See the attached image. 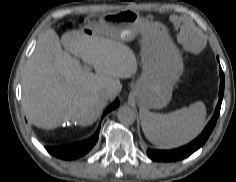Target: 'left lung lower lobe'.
<instances>
[{
  "label": "left lung lower lobe",
  "instance_id": "0a47b994",
  "mask_svg": "<svg viewBox=\"0 0 236 182\" xmlns=\"http://www.w3.org/2000/svg\"><path fill=\"white\" fill-rule=\"evenodd\" d=\"M220 71V91H219V102L217 104L215 113L206 126V128L203 130L202 134L196 138L194 141H192L190 144L187 146L175 149V150H152L148 149L147 150V155L155 161H163V162H169V161H177L183 158L188 157L191 155L194 151L199 149L209 138L215 124L217 121V118L220 113V108H221V103L223 99V94H224V85H225V79H224V73L219 67Z\"/></svg>",
  "mask_w": 236,
  "mask_h": 182
}]
</instances>
